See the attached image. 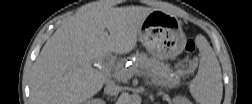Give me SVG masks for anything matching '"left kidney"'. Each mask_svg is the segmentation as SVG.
<instances>
[{
    "label": "left kidney",
    "instance_id": "1",
    "mask_svg": "<svg viewBox=\"0 0 252 104\" xmlns=\"http://www.w3.org/2000/svg\"><path fill=\"white\" fill-rule=\"evenodd\" d=\"M173 102L174 103H188V100L183 97H176L173 99Z\"/></svg>",
    "mask_w": 252,
    "mask_h": 104
}]
</instances>
